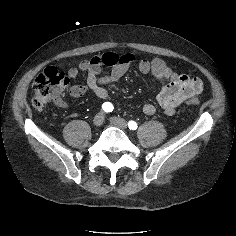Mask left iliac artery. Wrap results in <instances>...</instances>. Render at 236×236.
I'll return each mask as SVG.
<instances>
[{"label": "left iliac artery", "instance_id": "1", "mask_svg": "<svg viewBox=\"0 0 236 236\" xmlns=\"http://www.w3.org/2000/svg\"><path fill=\"white\" fill-rule=\"evenodd\" d=\"M128 127H129V129H131V130H136L138 126H137V123H136V122H134V121H129Z\"/></svg>", "mask_w": 236, "mask_h": 236}]
</instances>
